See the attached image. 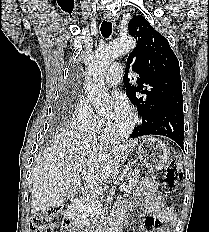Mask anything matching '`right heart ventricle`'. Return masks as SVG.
<instances>
[{
    "instance_id": "e07e8e85",
    "label": "right heart ventricle",
    "mask_w": 209,
    "mask_h": 232,
    "mask_svg": "<svg viewBox=\"0 0 209 232\" xmlns=\"http://www.w3.org/2000/svg\"><path fill=\"white\" fill-rule=\"evenodd\" d=\"M102 131V129H101V124L99 125V126H97L93 131H92V133H99V132H101ZM103 131L105 132V130L103 129Z\"/></svg>"
}]
</instances>
